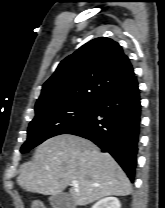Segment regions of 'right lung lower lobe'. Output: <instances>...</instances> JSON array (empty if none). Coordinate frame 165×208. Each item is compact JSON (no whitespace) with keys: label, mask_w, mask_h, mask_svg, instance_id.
I'll list each match as a JSON object with an SVG mask.
<instances>
[{"label":"right lung lower lobe","mask_w":165,"mask_h":208,"mask_svg":"<svg viewBox=\"0 0 165 208\" xmlns=\"http://www.w3.org/2000/svg\"><path fill=\"white\" fill-rule=\"evenodd\" d=\"M140 92L134 75L97 101L90 115L67 132L87 138L110 153L133 182L140 134Z\"/></svg>","instance_id":"obj_1"}]
</instances>
